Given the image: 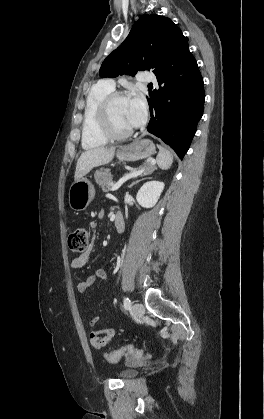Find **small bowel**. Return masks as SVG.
<instances>
[{
	"label": "small bowel",
	"mask_w": 264,
	"mask_h": 419,
	"mask_svg": "<svg viewBox=\"0 0 264 419\" xmlns=\"http://www.w3.org/2000/svg\"><path fill=\"white\" fill-rule=\"evenodd\" d=\"M92 226H94V224H92ZM90 256H91V249L77 256L71 262L72 268H75V269L84 268L87 265L90 259ZM97 279L108 281L109 276L107 275L105 271L99 270L95 272L94 274L90 275L89 277H87L85 280L79 281L77 284L78 291L82 294L87 293L91 289V287L93 286V284L95 283ZM98 323H99L98 316H92L89 320V325L91 328L96 327ZM115 336H116V329L112 326H109L103 329L92 330L90 333V344L92 345V347L96 349H103L113 341Z\"/></svg>",
	"instance_id": "small-bowel-1"
}]
</instances>
